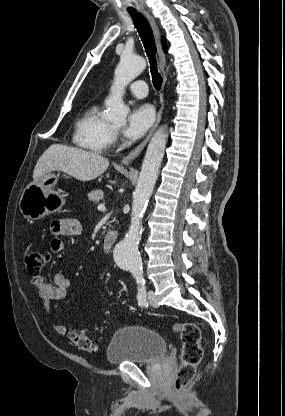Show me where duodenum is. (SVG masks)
I'll list each match as a JSON object with an SVG mask.
<instances>
[{
  "instance_id": "duodenum-1",
  "label": "duodenum",
  "mask_w": 285,
  "mask_h": 416,
  "mask_svg": "<svg viewBox=\"0 0 285 416\" xmlns=\"http://www.w3.org/2000/svg\"><path fill=\"white\" fill-rule=\"evenodd\" d=\"M116 238L117 234L114 231H110L104 236L102 240V248L105 253H109L111 251Z\"/></svg>"
}]
</instances>
